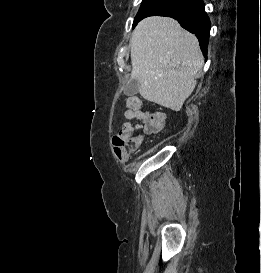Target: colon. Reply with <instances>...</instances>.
Returning <instances> with one entry per match:
<instances>
[{"label": "colon", "mask_w": 261, "mask_h": 273, "mask_svg": "<svg viewBox=\"0 0 261 273\" xmlns=\"http://www.w3.org/2000/svg\"><path fill=\"white\" fill-rule=\"evenodd\" d=\"M127 106L135 113L143 112L142 102L135 96H128ZM142 143L141 136L132 135L124 130L117 132L112 139L115 157L118 161H125L128 156L136 151Z\"/></svg>", "instance_id": "colon-1"}]
</instances>
